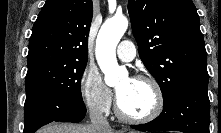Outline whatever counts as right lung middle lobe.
<instances>
[{
	"label": "right lung middle lobe",
	"instance_id": "obj_1",
	"mask_svg": "<svg viewBox=\"0 0 221 133\" xmlns=\"http://www.w3.org/2000/svg\"><path fill=\"white\" fill-rule=\"evenodd\" d=\"M86 64L56 65L26 75V91L39 90L55 99L82 100L80 84Z\"/></svg>",
	"mask_w": 221,
	"mask_h": 133
}]
</instances>
